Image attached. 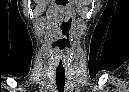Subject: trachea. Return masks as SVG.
<instances>
[{"mask_svg": "<svg viewBox=\"0 0 129 92\" xmlns=\"http://www.w3.org/2000/svg\"><path fill=\"white\" fill-rule=\"evenodd\" d=\"M56 84L59 92H64L65 87V72L56 71Z\"/></svg>", "mask_w": 129, "mask_h": 92, "instance_id": "trachea-1", "label": "trachea"}]
</instances>
